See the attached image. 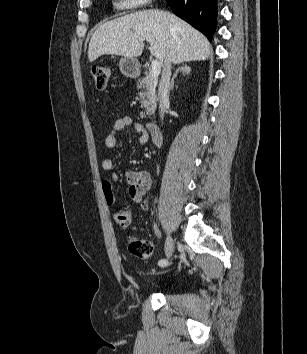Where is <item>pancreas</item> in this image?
<instances>
[{"label": "pancreas", "mask_w": 307, "mask_h": 354, "mask_svg": "<svg viewBox=\"0 0 307 354\" xmlns=\"http://www.w3.org/2000/svg\"><path fill=\"white\" fill-rule=\"evenodd\" d=\"M137 89L140 90L139 97L141 100L140 117L144 118L146 115L154 114L156 109V81L150 75L143 77L137 82Z\"/></svg>", "instance_id": "obj_1"}]
</instances>
